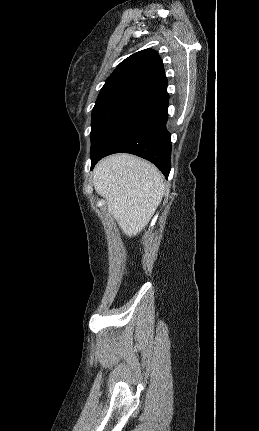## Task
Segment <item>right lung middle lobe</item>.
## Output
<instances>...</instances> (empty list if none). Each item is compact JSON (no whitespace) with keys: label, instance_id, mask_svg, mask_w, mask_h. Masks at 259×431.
<instances>
[{"label":"right lung middle lobe","instance_id":"obj_1","mask_svg":"<svg viewBox=\"0 0 259 431\" xmlns=\"http://www.w3.org/2000/svg\"><path fill=\"white\" fill-rule=\"evenodd\" d=\"M151 92L139 82H128L117 88L101 91L92 110L91 150L131 106Z\"/></svg>","mask_w":259,"mask_h":431}]
</instances>
